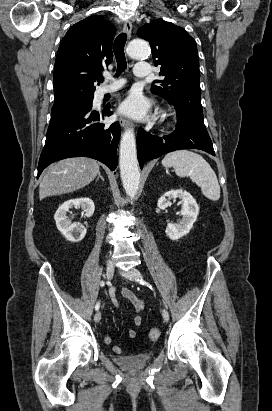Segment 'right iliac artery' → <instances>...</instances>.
Segmentation results:
<instances>
[{"label": "right iliac artery", "instance_id": "right-iliac-artery-1", "mask_svg": "<svg viewBox=\"0 0 272 411\" xmlns=\"http://www.w3.org/2000/svg\"><path fill=\"white\" fill-rule=\"evenodd\" d=\"M100 285H101V286H104L105 283H104L103 281H101V282H100ZM99 308H100V302H97L96 305H95V310H98Z\"/></svg>", "mask_w": 272, "mask_h": 411}]
</instances>
